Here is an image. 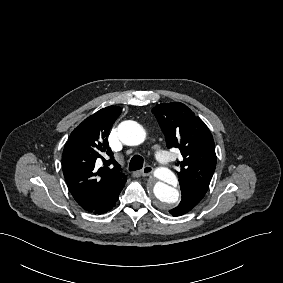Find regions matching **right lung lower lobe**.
I'll use <instances>...</instances> for the list:
<instances>
[{
    "instance_id": "1",
    "label": "right lung lower lobe",
    "mask_w": 283,
    "mask_h": 283,
    "mask_svg": "<svg viewBox=\"0 0 283 283\" xmlns=\"http://www.w3.org/2000/svg\"><path fill=\"white\" fill-rule=\"evenodd\" d=\"M125 183H123L121 186H119L118 188L115 189V191L109 195L105 201L99 203L98 205H95L91 208H83L85 211L93 213V214H104L106 212H108L109 210H111L119 197V194L121 192V190L123 189Z\"/></svg>"
}]
</instances>
